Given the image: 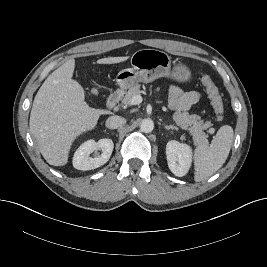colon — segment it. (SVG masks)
Segmentation results:
<instances>
[{"mask_svg": "<svg viewBox=\"0 0 267 267\" xmlns=\"http://www.w3.org/2000/svg\"><path fill=\"white\" fill-rule=\"evenodd\" d=\"M201 81L210 98L216 118L222 120L224 116V104L217 87L208 75H203Z\"/></svg>", "mask_w": 267, "mask_h": 267, "instance_id": "obj_1", "label": "colon"}]
</instances>
